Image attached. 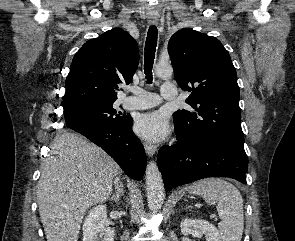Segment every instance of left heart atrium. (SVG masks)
Listing matches in <instances>:
<instances>
[{
	"mask_svg": "<svg viewBox=\"0 0 295 241\" xmlns=\"http://www.w3.org/2000/svg\"><path fill=\"white\" fill-rule=\"evenodd\" d=\"M135 130L144 138L159 141L167 136L169 127L166 118L160 112H151L137 118Z\"/></svg>",
	"mask_w": 295,
	"mask_h": 241,
	"instance_id": "obj_1",
	"label": "left heart atrium"
}]
</instances>
